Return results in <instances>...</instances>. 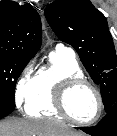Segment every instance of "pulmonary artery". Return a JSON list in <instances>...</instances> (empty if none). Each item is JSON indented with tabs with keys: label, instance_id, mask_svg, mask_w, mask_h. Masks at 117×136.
Returning a JSON list of instances; mask_svg holds the SVG:
<instances>
[{
	"label": "pulmonary artery",
	"instance_id": "pulmonary-artery-1",
	"mask_svg": "<svg viewBox=\"0 0 117 136\" xmlns=\"http://www.w3.org/2000/svg\"><path fill=\"white\" fill-rule=\"evenodd\" d=\"M56 50L63 51L65 53H68L70 55L75 56L74 50L72 48H70V47H67V46L63 45V44H57L56 45Z\"/></svg>",
	"mask_w": 117,
	"mask_h": 136
}]
</instances>
